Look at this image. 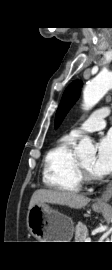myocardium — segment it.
<instances>
[{
	"mask_svg": "<svg viewBox=\"0 0 112 270\" xmlns=\"http://www.w3.org/2000/svg\"><path fill=\"white\" fill-rule=\"evenodd\" d=\"M77 169H78L81 182L91 183L95 181L96 178L93 175V173L89 171L87 168H85L79 160L77 161Z\"/></svg>",
	"mask_w": 112,
	"mask_h": 270,
	"instance_id": "f54148a6",
	"label": "myocardium"
}]
</instances>
